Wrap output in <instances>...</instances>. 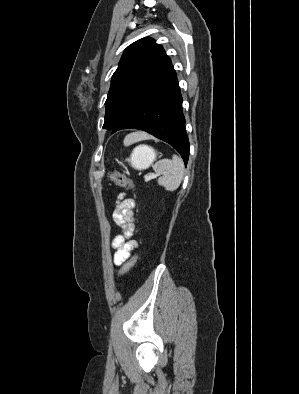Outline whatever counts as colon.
Returning a JSON list of instances; mask_svg holds the SVG:
<instances>
[{
  "label": "colon",
  "mask_w": 299,
  "mask_h": 394,
  "mask_svg": "<svg viewBox=\"0 0 299 394\" xmlns=\"http://www.w3.org/2000/svg\"><path fill=\"white\" fill-rule=\"evenodd\" d=\"M109 179L112 183H114L115 185H117L119 187H131L132 186V181L128 177H126L118 172L109 173ZM136 260H137V255L135 254L126 261V263L123 265V267L120 270V273H119L120 278H123L126 276V274L130 271V269L135 264Z\"/></svg>",
  "instance_id": "5ec220e1"
}]
</instances>
